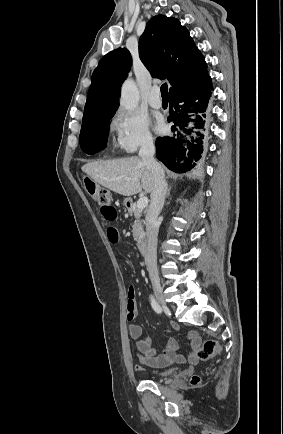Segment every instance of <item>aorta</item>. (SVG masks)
<instances>
[{
  "mask_svg": "<svg viewBox=\"0 0 283 434\" xmlns=\"http://www.w3.org/2000/svg\"><path fill=\"white\" fill-rule=\"evenodd\" d=\"M139 102V92L135 82L127 79L121 89L120 105L127 111H133Z\"/></svg>",
  "mask_w": 283,
  "mask_h": 434,
  "instance_id": "1",
  "label": "aorta"
}]
</instances>
